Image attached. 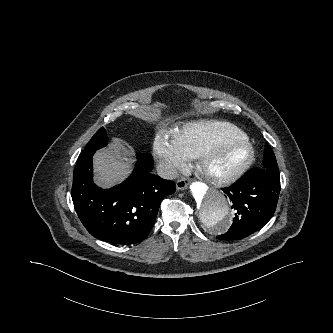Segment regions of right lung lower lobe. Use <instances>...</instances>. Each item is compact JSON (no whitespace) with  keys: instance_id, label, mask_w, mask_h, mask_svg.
I'll return each mask as SVG.
<instances>
[{"instance_id":"right-lung-lower-lobe-1","label":"right lung lower lobe","mask_w":333,"mask_h":333,"mask_svg":"<svg viewBox=\"0 0 333 333\" xmlns=\"http://www.w3.org/2000/svg\"><path fill=\"white\" fill-rule=\"evenodd\" d=\"M94 153L82 151L75 166L71 196L78 217L99 240L116 245L141 242L154 226L163 197L175 192V183L152 174V156L141 154L123 183L101 189L92 180Z\"/></svg>"}]
</instances>
